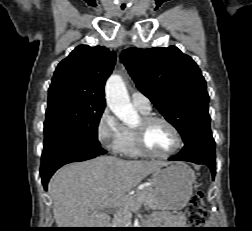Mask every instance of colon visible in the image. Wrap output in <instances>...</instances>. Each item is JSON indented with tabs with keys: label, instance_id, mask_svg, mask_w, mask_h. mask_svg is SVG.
<instances>
[{
	"label": "colon",
	"instance_id": "1",
	"mask_svg": "<svg viewBox=\"0 0 252 231\" xmlns=\"http://www.w3.org/2000/svg\"><path fill=\"white\" fill-rule=\"evenodd\" d=\"M187 221L190 225L198 226L202 224L206 217L204 205V192L197 191L190 199L187 208Z\"/></svg>",
	"mask_w": 252,
	"mask_h": 231
}]
</instances>
